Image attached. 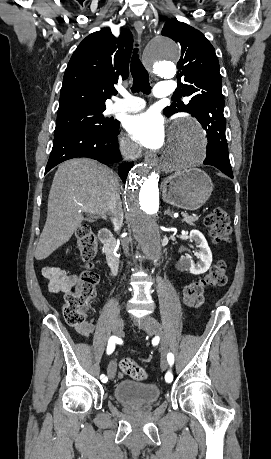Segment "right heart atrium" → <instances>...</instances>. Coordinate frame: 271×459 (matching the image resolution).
<instances>
[{
  "instance_id": "obj_1",
  "label": "right heart atrium",
  "mask_w": 271,
  "mask_h": 459,
  "mask_svg": "<svg viewBox=\"0 0 271 459\" xmlns=\"http://www.w3.org/2000/svg\"><path fill=\"white\" fill-rule=\"evenodd\" d=\"M119 146L128 159L134 160L139 156L140 152L137 146L124 134L119 137Z\"/></svg>"
}]
</instances>
